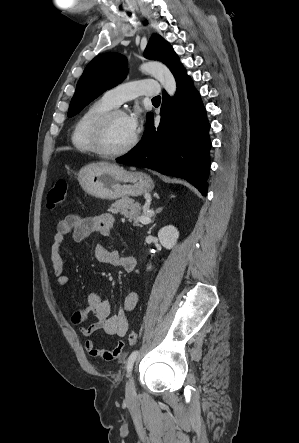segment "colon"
<instances>
[{"mask_svg":"<svg viewBox=\"0 0 299 443\" xmlns=\"http://www.w3.org/2000/svg\"><path fill=\"white\" fill-rule=\"evenodd\" d=\"M68 191V184L65 180H58L47 195V208L50 211L55 210L63 204ZM130 345H135L138 341V334L130 331L127 336Z\"/></svg>","mask_w":299,"mask_h":443,"instance_id":"1","label":"colon"}]
</instances>
